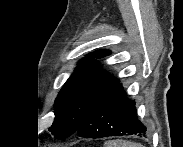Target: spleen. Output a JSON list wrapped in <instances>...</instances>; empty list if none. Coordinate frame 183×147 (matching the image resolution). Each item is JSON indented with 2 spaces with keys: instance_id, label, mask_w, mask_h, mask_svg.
<instances>
[{
  "instance_id": "1",
  "label": "spleen",
  "mask_w": 183,
  "mask_h": 147,
  "mask_svg": "<svg viewBox=\"0 0 183 147\" xmlns=\"http://www.w3.org/2000/svg\"><path fill=\"white\" fill-rule=\"evenodd\" d=\"M104 147H143V145L126 140H110L105 142Z\"/></svg>"
}]
</instances>
